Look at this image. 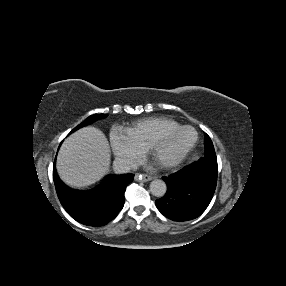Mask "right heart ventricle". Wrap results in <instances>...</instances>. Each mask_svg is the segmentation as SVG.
<instances>
[{"label":"right heart ventricle","mask_w":286,"mask_h":286,"mask_svg":"<svg viewBox=\"0 0 286 286\" xmlns=\"http://www.w3.org/2000/svg\"><path fill=\"white\" fill-rule=\"evenodd\" d=\"M181 124L165 117H150L140 119L129 126L126 131L137 141L142 149L159 137L178 129Z\"/></svg>","instance_id":"right-heart-ventricle-1"}]
</instances>
